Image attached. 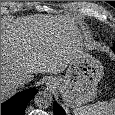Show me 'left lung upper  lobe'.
Returning <instances> with one entry per match:
<instances>
[{
	"mask_svg": "<svg viewBox=\"0 0 115 115\" xmlns=\"http://www.w3.org/2000/svg\"><path fill=\"white\" fill-rule=\"evenodd\" d=\"M113 50L115 51V44H114Z\"/></svg>",
	"mask_w": 115,
	"mask_h": 115,
	"instance_id": "5c2ea615",
	"label": "left lung upper lobe"
}]
</instances>
